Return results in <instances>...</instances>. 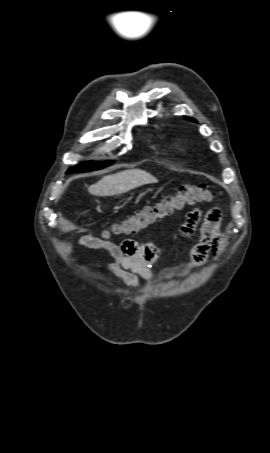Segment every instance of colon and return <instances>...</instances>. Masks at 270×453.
Wrapping results in <instances>:
<instances>
[{
  "instance_id": "colon-1",
  "label": "colon",
  "mask_w": 270,
  "mask_h": 453,
  "mask_svg": "<svg viewBox=\"0 0 270 453\" xmlns=\"http://www.w3.org/2000/svg\"><path fill=\"white\" fill-rule=\"evenodd\" d=\"M216 197L215 191L206 185H181L176 193L162 199L152 206H147L124 220L112 224L105 232L106 236L134 234L148 227L159 219L172 215L185 205L210 202Z\"/></svg>"
}]
</instances>
